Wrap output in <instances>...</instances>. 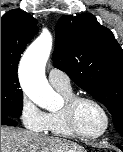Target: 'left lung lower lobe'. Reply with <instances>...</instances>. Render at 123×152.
Here are the masks:
<instances>
[{
    "mask_svg": "<svg viewBox=\"0 0 123 152\" xmlns=\"http://www.w3.org/2000/svg\"><path fill=\"white\" fill-rule=\"evenodd\" d=\"M118 147L123 151V148L121 146L118 145Z\"/></svg>",
    "mask_w": 123,
    "mask_h": 152,
    "instance_id": "1",
    "label": "left lung lower lobe"
}]
</instances>
